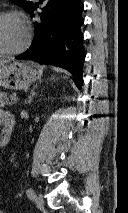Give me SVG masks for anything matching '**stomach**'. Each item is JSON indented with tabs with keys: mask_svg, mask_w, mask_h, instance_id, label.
<instances>
[{
	"mask_svg": "<svg viewBox=\"0 0 128 213\" xmlns=\"http://www.w3.org/2000/svg\"><path fill=\"white\" fill-rule=\"evenodd\" d=\"M39 78V73L25 62L0 65V86L7 89H23Z\"/></svg>",
	"mask_w": 128,
	"mask_h": 213,
	"instance_id": "stomach-1",
	"label": "stomach"
}]
</instances>
